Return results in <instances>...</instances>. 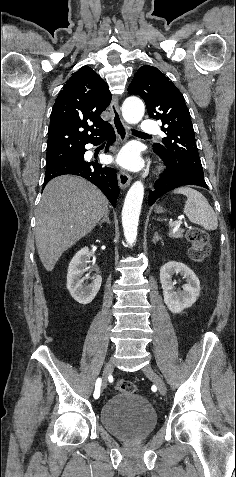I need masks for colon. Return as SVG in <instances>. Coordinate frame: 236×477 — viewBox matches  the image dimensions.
Returning <instances> with one entry per match:
<instances>
[{
    "label": "colon",
    "mask_w": 236,
    "mask_h": 477,
    "mask_svg": "<svg viewBox=\"0 0 236 477\" xmlns=\"http://www.w3.org/2000/svg\"><path fill=\"white\" fill-rule=\"evenodd\" d=\"M187 239L190 243L188 250L190 258L198 263L203 262L211 251L207 233L200 228L194 227L188 230ZM114 387L120 392L134 393L136 391L135 384L127 380L116 381Z\"/></svg>",
    "instance_id": "1"
}]
</instances>
